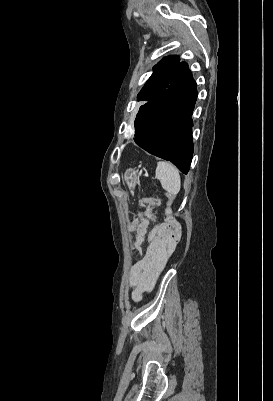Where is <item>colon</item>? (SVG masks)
Listing matches in <instances>:
<instances>
[{"instance_id": "colon-1", "label": "colon", "mask_w": 273, "mask_h": 401, "mask_svg": "<svg viewBox=\"0 0 273 401\" xmlns=\"http://www.w3.org/2000/svg\"><path fill=\"white\" fill-rule=\"evenodd\" d=\"M147 201L151 208H155L159 204L155 198H149ZM178 230V223L171 217H167L162 224L155 228L154 235L160 238L161 241H176Z\"/></svg>"}]
</instances>
